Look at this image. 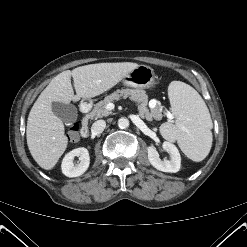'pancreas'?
<instances>
[{
    "mask_svg": "<svg viewBox=\"0 0 247 247\" xmlns=\"http://www.w3.org/2000/svg\"><path fill=\"white\" fill-rule=\"evenodd\" d=\"M121 97H129L131 101L135 102L138 107L139 115L141 117H153L157 120L160 119V106H156L155 108L149 110L147 108L148 97L144 91L139 89H121L113 92L112 94L105 97L104 100H101L97 104H95L93 110L87 115V118L98 119L109 116L112 112L107 109V104L118 100Z\"/></svg>",
    "mask_w": 247,
    "mask_h": 247,
    "instance_id": "pancreas-1",
    "label": "pancreas"
}]
</instances>
